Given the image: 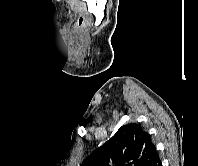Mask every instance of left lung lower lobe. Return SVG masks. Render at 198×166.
<instances>
[{"label":"left lung lower lobe","mask_w":198,"mask_h":166,"mask_svg":"<svg viewBox=\"0 0 198 166\" xmlns=\"http://www.w3.org/2000/svg\"><path fill=\"white\" fill-rule=\"evenodd\" d=\"M150 166H162V163H161V160H160L158 154L156 155V157L154 158V160L152 161Z\"/></svg>","instance_id":"0a47b994"}]
</instances>
